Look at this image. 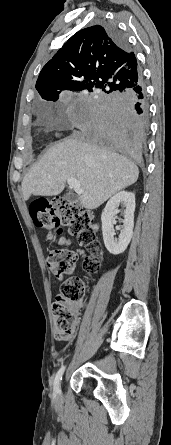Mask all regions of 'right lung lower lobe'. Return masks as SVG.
<instances>
[{"label": "right lung lower lobe", "instance_id": "1", "mask_svg": "<svg viewBox=\"0 0 171 445\" xmlns=\"http://www.w3.org/2000/svg\"><path fill=\"white\" fill-rule=\"evenodd\" d=\"M119 44H127L117 27L105 26ZM86 134L103 146L133 161H140L148 119L143 83L122 94H105L93 100L85 113Z\"/></svg>", "mask_w": 171, "mask_h": 445}]
</instances>
